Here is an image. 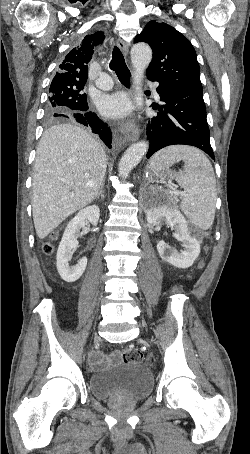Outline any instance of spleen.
<instances>
[{"label": "spleen", "instance_id": "3e777b00", "mask_svg": "<svg viewBox=\"0 0 250 454\" xmlns=\"http://www.w3.org/2000/svg\"><path fill=\"white\" fill-rule=\"evenodd\" d=\"M181 160L185 162V170L176 177L185 189L181 209L195 226L208 230L214 221L217 198L216 180L209 159L195 147L173 145L157 152L149 168L152 174H157Z\"/></svg>", "mask_w": 250, "mask_h": 454}]
</instances>
